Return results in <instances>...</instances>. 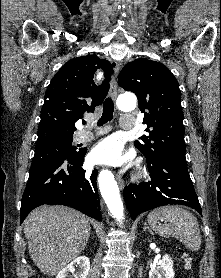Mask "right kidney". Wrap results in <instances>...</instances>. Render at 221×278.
Here are the masks:
<instances>
[{"label": "right kidney", "instance_id": "obj_1", "mask_svg": "<svg viewBox=\"0 0 221 278\" xmlns=\"http://www.w3.org/2000/svg\"><path fill=\"white\" fill-rule=\"evenodd\" d=\"M90 270V261L86 256H80L74 259L70 264L63 268L56 278H68L72 273L74 278H87ZM76 273L74 274V272Z\"/></svg>", "mask_w": 221, "mask_h": 278}]
</instances>
